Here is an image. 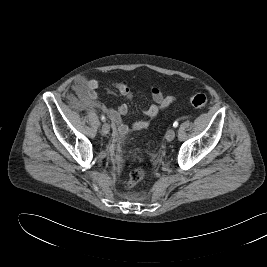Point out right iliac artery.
<instances>
[{"label":"right iliac artery","instance_id":"right-iliac-artery-1","mask_svg":"<svg viewBox=\"0 0 267 267\" xmlns=\"http://www.w3.org/2000/svg\"><path fill=\"white\" fill-rule=\"evenodd\" d=\"M105 119H106L105 116L102 115V116H101V120H102V121H105Z\"/></svg>","mask_w":267,"mask_h":267}]
</instances>
